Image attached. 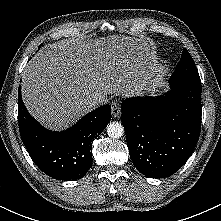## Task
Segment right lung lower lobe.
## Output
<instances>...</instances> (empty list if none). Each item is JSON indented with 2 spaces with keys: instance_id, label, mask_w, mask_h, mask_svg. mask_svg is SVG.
I'll use <instances>...</instances> for the list:
<instances>
[{
  "instance_id": "98d812e1",
  "label": "right lung lower lobe",
  "mask_w": 221,
  "mask_h": 221,
  "mask_svg": "<svg viewBox=\"0 0 221 221\" xmlns=\"http://www.w3.org/2000/svg\"><path fill=\"white\" fill-rule=\"evenodd\" d=\"M18 97L19 131L33 162L57 180L84 177L92 166L91 143L110 122V105L93 110L68 130L52 132L29 114L20 86Z\"/></svg>"
}]
</instances>
